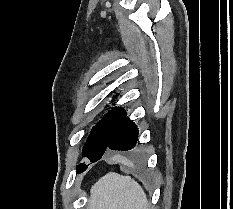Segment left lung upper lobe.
Returning <instances> with one entry per match:
<instances>
[{
  "label": "left lung upper lobe",
  "instance_id": "left-lung-upper-lobe-1",
  "mask_svg": "<svg viewBox=\"0 0 233 209\" xmlns=\"http://www.w3.org/2000/svg\"><path fill=\"white\" fill-rule=\"evenodd\" d=\"M125 116L124 109L117 107L104 116L92 129L83 147L82 155L88 158H101L107 149L113 132Z\"/></svg>",
  "mask_w": 233,
  "mask_h": 209
}]
</instances>
